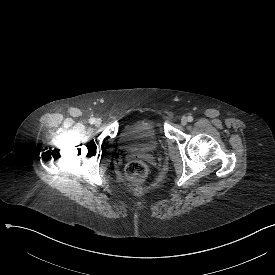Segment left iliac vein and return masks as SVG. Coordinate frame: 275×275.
<instances>
[{"instance_id": "4c4485c4", "label": "left iliac vein", "mask_w": 275, "mask_h": 275, "mask_svg": "<svg viewBox=\"0 0 275 275\" xmlns=\"http://www.w3.org/2000/svg\"><path fill=\"white\" fill-rule=\"evenodd\" d=\"M187 122H188V121H187V118H186V117H182V118H181V124H182V125H186Z\"/></svg>"}]
</instances>
